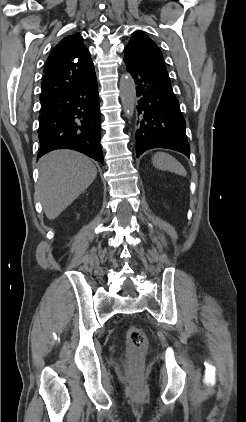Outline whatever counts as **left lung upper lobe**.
Returning <instances> with one entry per match:
<instances>
[{"label":"left lung upper lobe","instance_id":"left-lung-upper-lobe-1","mask_svg":"<svg viewBox=\"0 0 246 422\" xmlns=\"http://www.w3.org/2000/svg\"><path fill=\"white\" fill-rule=\"evenodd\" d=\"M125 53L138 59L152 72L170 82L163 55L155 42L140 31L133 33L131 40L124 49ZM171 83V82H170Z\"/></svg>","mask_w":246,"mask_h":422}]
</instances>
